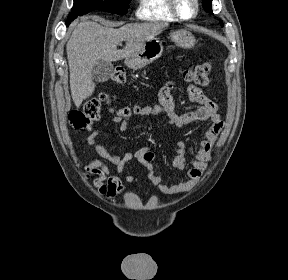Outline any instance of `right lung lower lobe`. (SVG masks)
<instances>
[{"mask_svg":"<svg viewBox=\"0 0 288 280\" xmlns=\"http://www.w3.org/2000/svg\"><path fill=\"white\" fill-rule=\"evenodd\" d=\"M72 20H69L66 22V25L68 26L71 23Z\"/></svg>","mask_w":288,"mask_h":280,"instance_id":"1","label":"right lung lower lobe"}]
</instances>
